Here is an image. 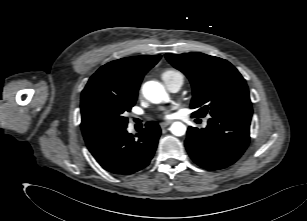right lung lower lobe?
Masks as SVG:
<instances>
[{
	"label": "right lung lower lobe",
	"instance_id": "right-lung-lower-lobe-1",
	"mask_svg": "<svg viewBox=\"0 0 307 221\" xmlns=\"http://www.w3.org/2000/svg\"><path fill=\"white\" fill-rule=\"evenodd\" d=\"M160 134L159 125L150 121L137 138L124 128L88 149L106 171L116 175H130L150 163Z\"/></svg>",
	"mask_w": 307,
	"mask_h": 221
}]
</instances>
